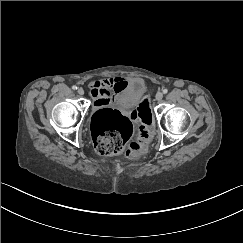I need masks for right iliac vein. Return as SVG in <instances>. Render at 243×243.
Listing matches in <instances>:
<instances>
[{
  "label": "right iliac vein",
  "instance_id": "1",
  "mask_svg": "<svg viewBox=\"0 0 243 243\" xmlns=\"http://www.w3.org/2000/svg\"><path fill=\"white\" fill-rule=\"evenodd\" d=\"M77 92H78L79 95H83L84 94V90L82 88H79L77 90Z\"/></svg>",
  "mask_w": 243,
  "mask_h": 243
}]
</instances>
